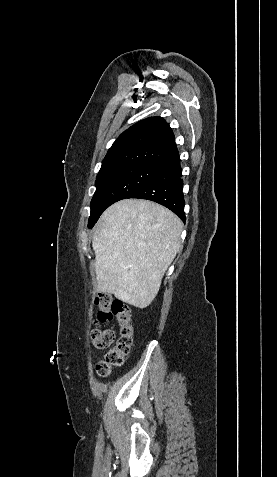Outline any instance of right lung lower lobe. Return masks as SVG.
Here are the masks:
<instances>
[{
  "label": "right lung lower lobe",
  "instance_id": "1",
  "mask_svg": "<svg viewBox=\"0 0 277 477\" xmlns=\"http://www.w3.org/2000/svg\"><path fill=\"white\" fill-rule=\"evenodd\" d=\"M179 154L164 163L154 176L128 198H140L157 202L173 211L183 221L184 196Z\"/></svg>",
  "mask_w": 277,
  "mask_h": 477
}]
</instances>
